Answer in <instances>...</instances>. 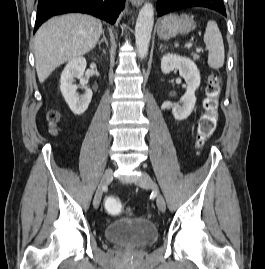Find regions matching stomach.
Returning <instances> with one entry per match:
<instances>
[{
	"instance_id": "0dacf381",
	"label": "stomach",
	"mask_w": 265,
	"mask_h": 269,
	"mask_svg": "<svg viewBox=\"0 0 265 269\" xmlns=\"http://www.w3.org/2000/svg\"><path fill=\"white\" fill-rule=\"evenodd\" d=\"M196 26L193 16L187 14L168 15L158 22V36L170 39L178 34H186Z\"/></svg>"
}]
</instances>
